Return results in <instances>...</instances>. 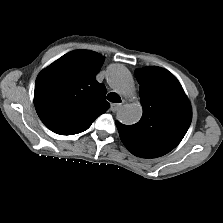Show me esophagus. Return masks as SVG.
I'll return each mask as SVG.
<instances>
[{"label": "esophagus", "instance_id": "1", "mask_svg": "<svg viewBox=\"0 0 223 223\" xmlns=\"http://www.w3.org/2000/svg\"><path fill=\"white\" fill-rule=\"evenodd\" d=\"M120 107H121V104H119V103H112L111 106H110V110L112 112H116Z\"/></svg>", "mask_w": 223, "mask_h": 223}]
</instances>
